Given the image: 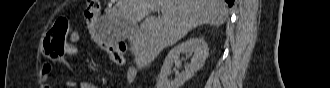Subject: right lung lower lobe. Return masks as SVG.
<instances>
[{
    "instance_id": "right-lung-lower-lobe-1",
    "label": "right lung lower lobe",
    "mask_w": 330,
    "mask_h": 88,
    "mask_svg": "<svg viewBox=\"0 0 330 88\" xmlns=\"http://www.w3.org/2000/svg\"><path fill=\"white\" fill-rule=\"evenodd\" d=\"M227 3H228V5L231 7L232 5H233V3H234V0H225Z\"/></svg>"
}]
</instances>
